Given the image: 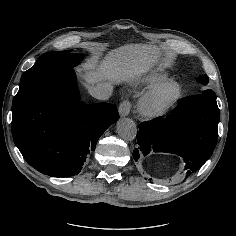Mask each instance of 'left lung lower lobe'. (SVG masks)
Wrapping results in <instances>:
<instances>
[{
	"mask_svg": "<svg viewBox=\"0 0 236 236\" xmlns=\"http://www.w3.org/2000/svg\"><path fill=\"white\" fill-rule=\"evenodd\" d=\"M219 117L216 96L185 97L167 118L158 117L140 124L133 157L138 161L153 152L176 154L183 158L189 176L212 155Z\"/></svg>",
	"mask_w": 236,
	"mask_h": 236,
	"instance_id": "obj_1",
	"label": "left lung lower lobe"
}]
</instances>
